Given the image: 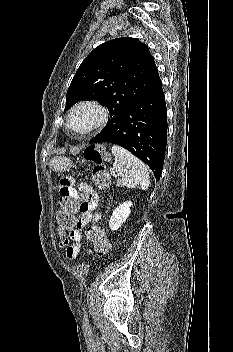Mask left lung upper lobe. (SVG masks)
<instances>
[{
    "instance_id": "5c2ea615",
    "label": "left lung upper lobe",
    "mask_w": 233,
    "mask_h": 352,
    "mask_svg": "<svg viewBox=\"0 0 233 352\" xmlns=\"http://www.w3.org/2000/svg\"><path fill=\"white\" fill-rule=\"evenodd\" d=\"M159 81L148 46L137 38H116L96 47L81 63L67 91L64 111L79 101L96 100L110 112L104 132Z\"/></svg>"
}]
</instances>
